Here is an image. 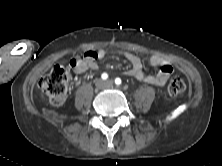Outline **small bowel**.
<instances>
[{"label": "small bowel", "instance_id": "small-bowel-1", "mask_svg": "<svg viewBox=\"0 0 222 166\" xmlns=\"http://www.w3.org/2000/svg\"><path fill=\"white\" fill-rule=\"evenodd\" d=\"M117 53L123 56L131 64V67L126 70L125 74L148 84L158 87L165 86L173 71V66L169 61L158 55H152L149 58V63L153 67H157L158 71L153 74H146L143 69L142 60L137 55L124 50L118 51ZM107 54L108 52L105 49L88 51L83 55L73 58L70 61V66L77 74L84 73L88 70H97L98 60L105 58Z\"/></svg>", "mask_w": 222, "mask_h": 166}]
</instances>
